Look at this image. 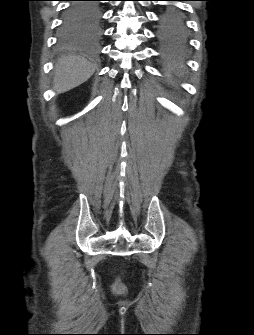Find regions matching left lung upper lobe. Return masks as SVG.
<instances>
[{"mask_svg": "<svg viewBox=\"0 0 254 335\" xmlns=\"http://www.w3.org/2000/svg\"><path fill=\"white\" fill-rule=\"evenodd\" d=\"M162 33L167 36L175 35L184 29L182 13L175 7H169L161 18Z\"/></svg>", "mask_w": 254, "mask_h": 335, "instance_id": "5c2ea615", "label": "left lung upper lobe"}]
</instances>
